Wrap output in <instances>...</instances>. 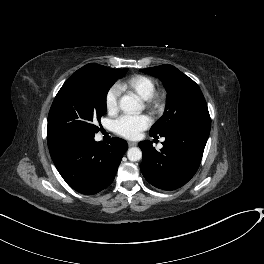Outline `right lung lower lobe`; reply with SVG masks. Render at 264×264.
<instances>
[{"label":"right lung lower lobe","mask_w":264,"mask_h":264,"mask_svg":"<svg viewBox=\"0 0 264 264\" xmlns=\"http://www.w3.org/2000/svg\"><path fill=\"white\" fill-rule=\"evenodd\" d=\"M110 145L94 137L59 142L49 148L52 160L66 183L79 193L92 195L114 180L126 141L112 138Z\"/></svg>","instance_id":"98d812e1"}]
</instances>
